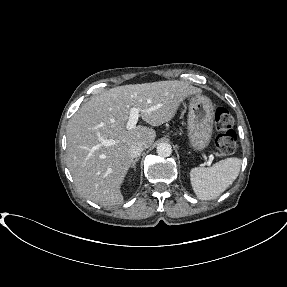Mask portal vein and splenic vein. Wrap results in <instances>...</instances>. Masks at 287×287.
<instances>
[{
  "instance_id": "obj_1",
  "label": "portal vein and splenic vein",
  "mask_w": 287,
  "mask_h": 287,
  "mask_svg": "<svg viewBox=\"0 0 287 287\" xmlns=\"http://www.w3.org/2000/svg\"><path fill=\"white\" fill-rule=\"evenodd\" d=\"M139 119V109L137 108H131L130 109V115H129V119L127 122V129H133L135 128L137 122ZM101 143L104 146H111L115 144V140L113 139H109V140H105V139H101ZM214 159L213 155L209 156V161L207 162V165L210 166L212 163V160Z\"/></svg>"
}]
</instances>
